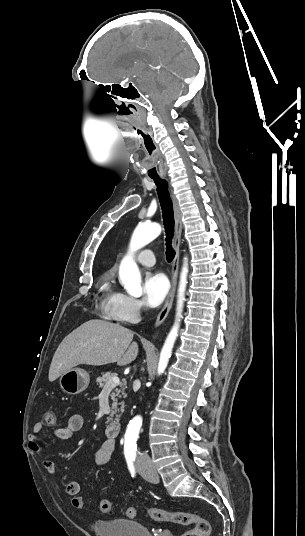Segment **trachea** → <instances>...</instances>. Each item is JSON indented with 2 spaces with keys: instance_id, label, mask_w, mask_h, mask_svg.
Masks as SVG:
<instances>
[{
  "instance_id": "1",
  "label": "trachea",
  "mask_w": 305,
  "mask_h": 536,
  "mask_svg": "<svg viewBox=\"0 0 305 536\" xmlns=\"http://www.w3.org/2000/svg\"><path fill=\"white\" fill-rule=\"evenodd\" d=\"M157 186V194L162 208L164 229L166 234V259L170 263L175 257V250L172 247L174 236V215L173 204L168 191V183L160 177H152Z\"/></svg>"
}]
</instances>
